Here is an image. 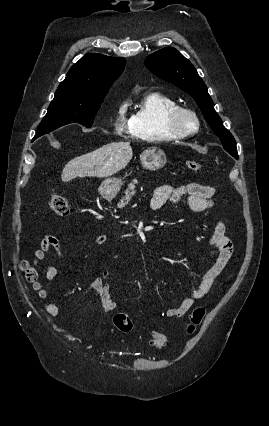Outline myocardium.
Segmentation results:
<instances>
[{"mask_svg": "<svg viewBox=\"0 0 269 426\" xmlns=\"http://www.w3.org/2000/svg\"><path fill=\"white\" fill-rule=\"evenodd\" d=\"M190 118L193 121V126L189 127L184 124V118ZM167 129L176 137H188L196 133L200 127V122L197 114L190 108L177 106L167 112L166 117Z\"/></svg>", "mask_w": 269, "mask_h": 426, "instance_id": "f54148a6", "label": "myocardium"}]
</instances>
